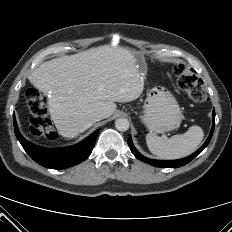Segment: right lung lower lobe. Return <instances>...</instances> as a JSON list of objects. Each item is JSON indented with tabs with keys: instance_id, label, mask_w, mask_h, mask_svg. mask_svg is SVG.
Listing matches in <instances>:
<instances>
[{
	"instance_id": "98d812e1",
	"label": "right lung lower lobe",
	"mask_w": 232,
	"mask_h": 232,
	"mask_svg": "<svg viewBox=\"0 0 232 232\" xmlns=\"http://www.w3.org/2000/svg\"><path fill=\"white\" fill-rule=\"evenodd\" d=\"M14 130L17 139L28 155L40 165L52 169H64L76 165L85 160L92 152L98 130L87 137L81 143L57 149L42 148L23 138L20 134L14 117Z\"/></svg>"
}]
</instances>
